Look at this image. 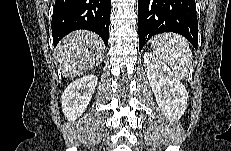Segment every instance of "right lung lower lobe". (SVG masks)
<instances>
[{
    "label": "right lung lower lobe",
    "instance_id": "obj_1",
    "mask_svg": "<svg viewBox=\"0 0 231 151\" xmlns=\"http://www.w3.org/2000/svg\"><path fill=\"white\" fill-rule=\"evenodd\" d=\"M111 0H56L52 16L54 46L72 31L85 29L108 44Z\"/></svg>",
    "mask_w": 231,
    "mask_h": 151
}]
</instances>
